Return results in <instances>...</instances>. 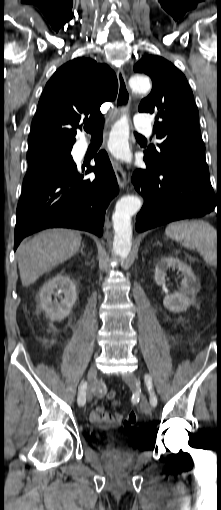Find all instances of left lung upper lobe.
<instances>
[{
    "label": "left lung upper lobe",
    "mask_w": 221,
    "mask_h": 510,
    "mask_svg": "<svg viewBox=\"0 0 221 510\" xmlns=\"http://www.w3.org/2000/svg\"><path fill=\"white\" fill-rule=\"evenodd\" d=\"M134 71L152 79V91L141 101L139 111L155 115L154 131L156 137L163 140L157 148L151 145L147 149L153 165L209 176L198 110L185 76L157 55L143 57Z\"/></svg>",
    "instance_id": "1"
}]
</instances>
